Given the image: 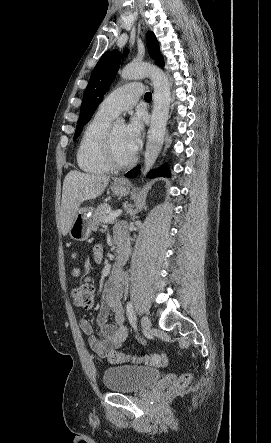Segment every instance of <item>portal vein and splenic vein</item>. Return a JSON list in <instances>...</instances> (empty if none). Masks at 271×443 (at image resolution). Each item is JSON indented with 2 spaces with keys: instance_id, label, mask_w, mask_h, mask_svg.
I'll return each mask as SVG.
<instances>
[{
  "instance_id": "1",
  "label": "portal vein and splenic vein",
  "mask_w": 271,
  "mask_h": 443,
  "mask_svg": "<svg viewBox=\"0 0 271 443\" xmlns=\"http://www.w3.org/2000/svg\"><path fill=\"white\" fill-rule=\"evenodd\" d=\"M121 214V210H117V212H112V214H109V216H107L106 220H104L105 223H110L113 222V220H115V218H117V216H120Z\"/></svg>"
}]
</instances>
